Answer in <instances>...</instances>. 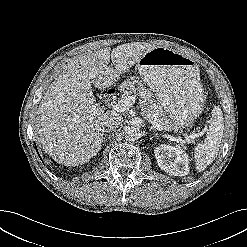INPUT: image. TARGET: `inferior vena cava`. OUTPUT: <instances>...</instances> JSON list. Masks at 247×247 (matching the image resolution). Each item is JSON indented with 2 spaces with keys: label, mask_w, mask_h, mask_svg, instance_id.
<instances>
[{
  "label": "inferior vena cava",
  "mask_w": 247,
  "mask_h": 247,
  "mask_svg": "<svg viewBox=\"0 0 247 247\" xmlns=\"http://www.w3.org/2000/svg\"><path fill=\"white\" fill-rule=\"evenodd\" d=\"M121 121L122 117L114 111H111L104 116V125L108 128L113 129L119 126L121 124Z\"/></svg>",
  "instance_id": "obj_1"
}]
</instances>
